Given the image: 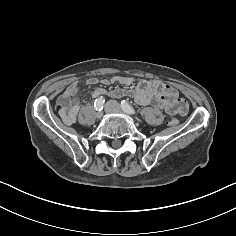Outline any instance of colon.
Returning a JSON list of instances; mask_svg holds the SVG:
<instances>
[{"label": "colon", "mask_w": 236, "mask_h": 236, "mask_svg": "<svg viewBox=\"0 0 236 236\" xmlns=\"http://www.w3.org/2000/svg\"><path fill=\"white\" fill-rule=\"evenodd\" d=\"M178 123V120L177 119H172V121H171V124L172 125H175V124H177Z\"/></svg>", "instance_id": "obj_1"}]
</instances>
